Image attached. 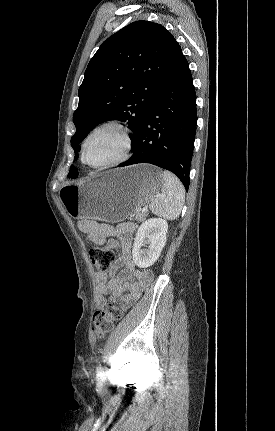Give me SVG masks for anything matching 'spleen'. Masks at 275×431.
<instances>
[{
	"label": "spleen",
	"instance_id": "spleen-1",
	"mask_svg": "<svg viewBox=\"0 0 275 431\" xmlns=\"http://www.w3.org/2000/svg\"><path fill=\"white\" fill-rule=\"evenodd\" d=\"M162 177V193L150 203L149 207L155 215L175 220L183 208L185 190L180 180L171 172L163 171Z\"/></svg>",
	"mask_w": 275,
	"mask_h": 431
}]
</instances>
